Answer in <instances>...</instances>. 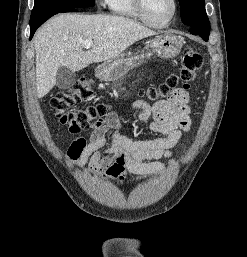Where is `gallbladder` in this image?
Masks as SVG:
<instances>
[{
	"label": "gallbladder",
	"instance_id": "bac80fb5",
	"mask_svg": "<svg viewBox=\"0 0 247 257\" xmlns=\"http://www.w3.org/2000/svg\"><path fill=\"white\" fill-rule=\"evenodd\" d=\"M76 74L68 67L62 66L56 74V86L59 89H68L75 83Z\"/></svg>",
	"mask_w": 247,
	"mask_h": 257
}]
</instances>
